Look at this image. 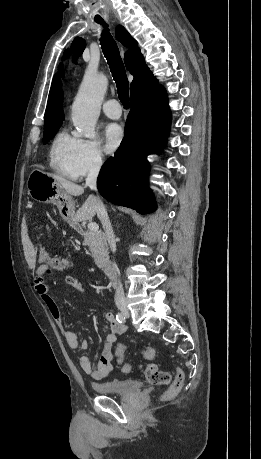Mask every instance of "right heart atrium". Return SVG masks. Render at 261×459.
<instances>
[{"label": "right heart atrium", "instance_id": "obj_1", "mask_svg": "<svg viewBox=\"0 0 261 459\" xmlns=\"http://www.w3.org/2000/svg\"><path fill=\"white\" fill-rule=\"evenodd\" d=\"M104 164V155L96 140L78 138L74 158L77 177L97 172Z\"/></svg>", "mask_w": 261, "mask_h": 459}]
</instances>
